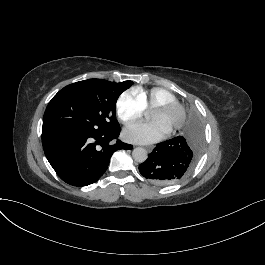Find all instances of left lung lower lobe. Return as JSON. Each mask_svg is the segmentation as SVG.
Masks as SVG:
<instances>
[{
  "label": "left lung lower lobe",
  "mask_w": 265,
  "mask_h": 265,
  "mask_svg": "<svg viewBox=\"0 0 265 265\" xmlns=\"http://www.w3.org/2000/svg\"><path fill=\"white\" fill-rule=\"evenodd\" d=\"M201 149V122L192 117L184 135L158 143L148 159L139 165V171L157 185L174 184L193 169Z\"/></svg>",
  "instance_id": "0a47b994"
}]
</instances>
